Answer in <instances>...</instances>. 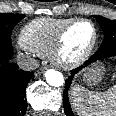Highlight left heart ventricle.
<instances>
[{
  "mask_svg": "<svg viewBox=\"0 0 116 116\" xmlns=\"http://www.w3.org/2000/svg\"><path fill=\"white\" fill-rule=\"evenodd\" d=\"M92 38V28L87 23L75 25L65 38L64 55L67 59L79 56Z\"/></svg>",
  "mask_w": 116,
  "mask_h": 116,
  "instance_id": "obj_1",
  "label": "left heart ventricle"
}]
</instances>
